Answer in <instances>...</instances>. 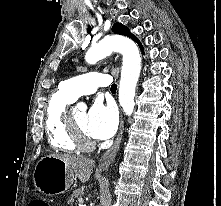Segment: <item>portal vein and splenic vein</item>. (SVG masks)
<instances>
[{"label":"portal vein and splenic vein","mask_w":221,"mask_h":206,"mask_svg":"<svg viewBox=\"0 0 221 206\" xmlns=\"http://www.w3.org/2000/svg\"><path fill=\"white\" fill-rule=\"evenodd\" d=\"M83 199L81 198V199H79V203L81 204L80 206H83Z\"/></svg>","instance_id":"obj_1"}]
</instances>
